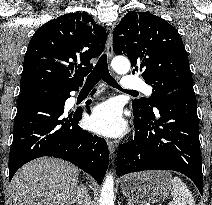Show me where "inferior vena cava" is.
<instances>
[{
  "instance_id": "inferior-vena-cava-1",
  "label": "inferior vena cava",
  "mask_w": 212,
  "mask_h": 205,
  "mask_svg": "<svg viewBox=\"0 0 212 205\" xmlns=\"http://www.w3.org/2000/svg\"><path fill=\"white\" fill-rule=\"evenodd\" d=\"M83 198H84V203H85L84 205H89L90 199H89V197H88L86 188H85V191H84V193H83Z\"/></svg>"
}]
</instances>
